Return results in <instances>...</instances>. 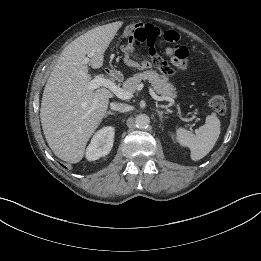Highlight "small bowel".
Returning a JSON list of instances; mask_svg holds the SVG:
<instances>
[{
  "instance_id": "c3829d8e",
  "label": "small bowel",
  "mask_w": 261,
  "mask_h": 261,
  "mask_svg": "<svg viewBox=\"0 0 261 261\" xmlns=\"http://www.w3.org/2000/svg\"><path fill=\"white\" fill-rule=\"evenodd\" d=\"M181 46L184 50L183 56L177 53L176 48L168 47L165 50L166 55L170 57L171 65L176 69H185L187 66L188 49L183 45ZM121 50L126 64L139 69L150 68V62L144 59L137 58L134 52V43L132 41H129L126 45L122 46Z\"/></svg>"
}]
</instances>
